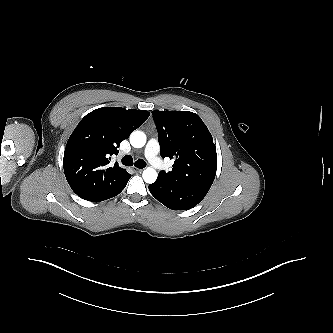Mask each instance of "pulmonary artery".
<instances>
[{"instance_id": "1", "label": "pulmonary artery", "mask_w": 333, "mask_h": 333, "mask_svg": "<svg viewBox=\"0 0 333 333\" xmlns=\"http://www.w3.org/2000/svg\"><path fill=\"white\" fill-rule=\"evenodd\" d=\"M159 152V143L155 138L149 140L145 148V155L149 162L158 169L165 168V164L163 161L158 157Z\"/></svg>"}]
</instances>
